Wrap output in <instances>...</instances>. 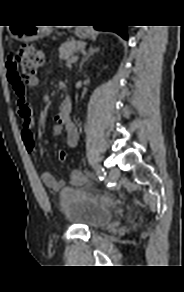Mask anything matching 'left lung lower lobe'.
I'll return each mask as SVG.
<instances>
[{
	"label": "left lung lower lobe",
	"instance_id": "left-lung-lower-lobe-1",
	"mask_svg": "<svg viewBox=\"0 0 184 292\" xmlns=\"http://www.w3.org/2000/svg\"><path fill=\"white\" fill-rule=\"evenodd\" d=\"M94 28L102 31H113L127 39L126 26L94 25Z\"/></svg>",
	"mask_w": 184,
	"mask_h": 292
}]
</instances>
